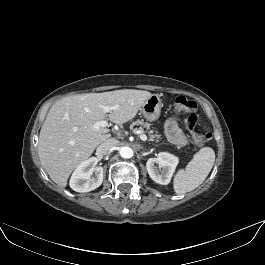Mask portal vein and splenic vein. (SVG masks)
Instances as JSON below:
<instances>
[{
    "label": "portal vein and splenic vein",
    "mask_w": 265,
    "mask_h": 265,
    "mask_svg": "<svg viewBox=\"0 0 265 265\" xmlns=\"http://www.w3.org/2000/svg\"><path fill=\"white\" fill-rule=\"evenodd\" d=\"M112 109H114V107H109V106H104L103 107V111L106 112V113H109ZM108 126V122L106 120H101V121H98L94 124V128L95 129H99L100 127H106ZM140 138L142 141H146L147 140V136L144 132H142L140 134Z\"/></svg>",
    "instance_id": "obj_1"
}]
</instances>
